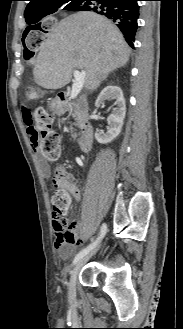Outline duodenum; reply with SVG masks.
I'll list each match as a JSON object with an SVG mask.
<instances>
[{
	"label": "duodenum",
	"instance_id": "duodenum-1",
	"mask_svg": "<svg viewBox=\"0 0 183 329\" xmlns=\"http://www.w3.org/2000/svg\"><path fill=\"white\" fill-rule=\"evenodd\" d=\"M57 99L64 106L71 104L69 95L65 92H60L57 96ZM73 106L78 112V116L81 123L82 132L80 134V143L79 147L83 153H87L91 149V142L93 136L92 126L88 119L89 105L85 97L80 96L72 102Z\"/></svg>",
	"mask_w": 183,
	"mask_h": 329
}]
</instances>
